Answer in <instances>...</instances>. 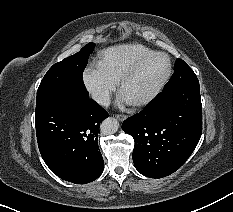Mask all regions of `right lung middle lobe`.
<instances>
[{"mask_svg": "<svg viewBox=\"0 0 233 212\" xmlns=\"http://www.w3.org/2000/svg\"><path fill=\"white\" fill-rule=\"evenodd\" d=\"M95 44L85 45L78 53L54 64L42 79L37 91L36 113L54 102L57 96L71 88L86 90L83 71Z\"/></svg>", "mask_w": 233, "mask_h": 212, "instance_id": "obj_1", "label": "right lung middle lobe"}]
</instances>
